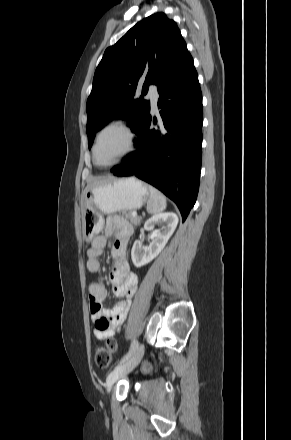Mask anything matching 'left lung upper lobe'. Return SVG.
Segmentation results:
<instances>
[{
	"mask_svg": "<svg viewBox=\"0 0 291 440\" xmlns=\"http://www.w3.org/2000/svg\"><path fill=\"white\" fill-rule=\"evenodd\" d=\"M187 52L177 24L162 12L138 22L107 48L86 104L89 147L95 133L113 119L129 120L137 134L150 110L143 96L134 98L140 79L144 80L142 94H146L149 84L158 86Z\"/></svg>",
	"mask_w": 291,
	"mask_h": 440,
	"instance_id": "1",
	"label": "left lung upper lobe"
}]
</instances>
